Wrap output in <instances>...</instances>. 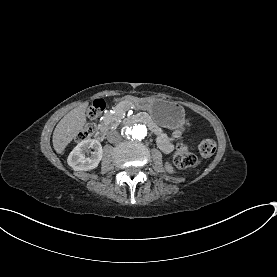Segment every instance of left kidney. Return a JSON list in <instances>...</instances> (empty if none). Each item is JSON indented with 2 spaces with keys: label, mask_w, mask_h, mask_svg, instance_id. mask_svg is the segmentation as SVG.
Returning <instances> with one entry per match:
<instances>
[{
  "label": "left kidney",
  "mask_w": 277,
  "mask_h": 277,
  "mask_svg": "<svg viewBox=\"0 0 277 277\" xmlns=\"http://www.w3.org/2000/svg\"><path fill=\"white\" fill-rule=\"evenodd\" d=\"M164 169L168 174H175V169L169 161L164 162Z\"/></svg>",
  "instance_id": "1"
}]
</instances>
